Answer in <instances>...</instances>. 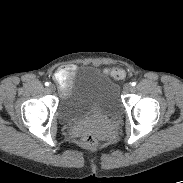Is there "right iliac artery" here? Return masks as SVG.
Here are the masks:
<instances>
[{"mask_svg":"<svg viewBox=\"0 0 183 183\" xmlns=\"http://www.w3.org/2000/svg\"><path fill=\"white\" fill-rule=\"evenodd\" d=\"M45 86H49V82H46V83H45Z\"/></svg>","mask_w":183,"mask_h":183,"instance_id":"obj_1","label":"right iliac artery"}]
</instances>
